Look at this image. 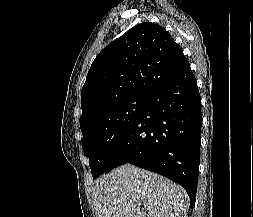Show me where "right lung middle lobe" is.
<instances>
[{
  "label": "right lung middle lobe",
  "mask_w": 253,
  "mask_h": 217,
  "mask_svg": "<svg viewBox=\"0 0 253 217\" xmlns=\"http://www.w3.org/2000/svg\"><path fill=\"white\" fill-rule=\"evenodd\" d=\"M146 97H133L112 104L80 125L82 148L89 158L93 178L103 174L115 148L144 109Z\"/></svg>",
  "instance_id": "obj_1"
}]
</instances>
